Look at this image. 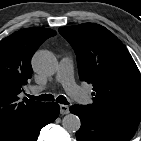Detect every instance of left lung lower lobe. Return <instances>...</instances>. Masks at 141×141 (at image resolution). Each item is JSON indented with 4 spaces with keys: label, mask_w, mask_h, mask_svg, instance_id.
<instances>
[{
    "label": "left lung lower lobe",
    "mask_w": 141,
    "mask_h": 141,
    "mask_svg": "<svg viewBox=\"0 0 141 141\" xmlns=\"http://www.w3.org/2000/svg\"><path fill=\"white\" fill-rule=\"evenodd\" d=\"M70 111L81 120L77 141H129L137 126L108 118L88 105H73Z\"/></svg>",
    "instance_id": "0a47b994"
}]
</instances>
